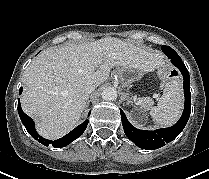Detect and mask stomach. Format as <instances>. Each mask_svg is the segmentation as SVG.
Segmentation results:
<instances>
[{
  "instance_id": "1",
  "label": "stomach",
  "mask_w": 209,
  "mask_h": 179,
  "mask_svg": "<svg viewBox=\"0 0 209 179\" xmlns=\"http://www.w3.org/2000/svg\"><path fill=\"white\" fill-rule=\"evenodd\" d=\"M143 72L139 69L126 67L119 68L118 78L122 87H128L133 82L138 81L142 78Z\"/></svg>"
}]
</instances>
